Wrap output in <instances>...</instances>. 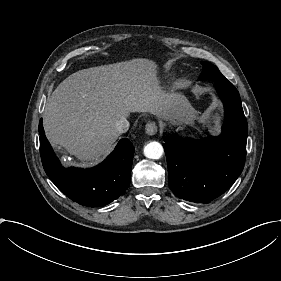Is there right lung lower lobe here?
<instances>
[{
  "mask_svg": "<svg viewBox=\"0 0 281 281\" xmlns=\"http://www.w3.org/2000/svg\"><path fill=\"white\" fill-rule=\"evenodd\" d=\"M40 154L44 170L57 188L83 206H105L118 199L131 180L134 154L132 143L124 138L100 165L91 169L64 168L52 150L39 122Z\"/></svg>",
  "mask_w": 281,
  "mask_h": 281,
  "instance_id": "right-lung-lower-lobe-1",
  "label": "right lung lower lobe"
}]
</instances>
